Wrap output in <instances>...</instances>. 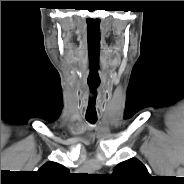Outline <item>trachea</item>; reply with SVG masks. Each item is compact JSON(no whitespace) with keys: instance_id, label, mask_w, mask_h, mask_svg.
I'll return each instance as SVG.
<instances>
[{"instance_id":"1","label":"trachea","mask_w":184,"mask_h":184,"mask_svg":"<svg viewBox=\"0 0 184 184\" xmlns=\"http://www.w3.org/2000/svg\"><path fill=\"white\" fill-rule=\"evenodd\" d=\"M86 120H87L89 123H92V124H94V123L97 121L96 118H86Z\"/></svg>"}]
</instances>
